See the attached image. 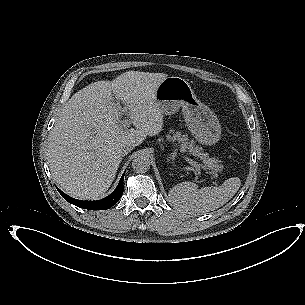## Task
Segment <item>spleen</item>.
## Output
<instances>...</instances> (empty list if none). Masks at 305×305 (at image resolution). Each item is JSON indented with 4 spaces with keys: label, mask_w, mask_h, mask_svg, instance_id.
<instances>
[{
    "label": "spleen",
    "mask_w": 305,
    "mask_h": 305,
    "mask_svg": "<svg viewBox=\"0 0 305 305\" xmlns=\"http://www.w3.org/2000/svg\"><path fill=\"white\" fill-rule=\"evenodd\" d=\"M232 179L226 180L219 187H204L198 189V186L192 182H183L171 188L169 199L174 207L181 209L186 213H205L222 207L226 204L233 192L229 189Z\"/></svg>",
    "instance_id": "spleen-1"
}]
</instances>
